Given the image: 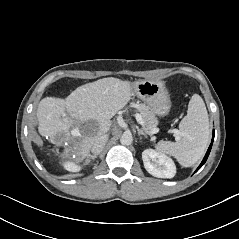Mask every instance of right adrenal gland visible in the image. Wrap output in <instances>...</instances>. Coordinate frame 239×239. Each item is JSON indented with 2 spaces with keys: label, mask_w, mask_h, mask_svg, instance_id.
<instances>
[{
  "label": "right adrenal gland",
  "mask_w": 239,
  "mask_h": 239,
  "mask_svg": "<svg viewBox=\"0 0 239 239\" xmlns=\"http://www.w3.org/2000/svg\"><path fill=\"white\" fill-rule=\"evenodd\" d=\"M88 157H89V158H95V157H96V155H94V156H91V155H89Z\"/></svg>",
  "instance_id": "2a0ac1e0"
}]
</instances>
